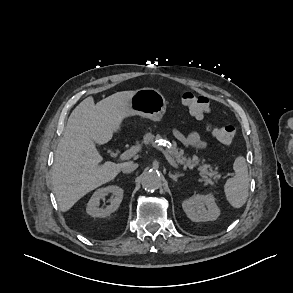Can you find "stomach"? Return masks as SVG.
Returning <instances> with one entry per match:
<instances>
[{"instance_id": "stomach-1", "label": "stomach", "mask_w": 293, "mask_h": 293, "mask_svg": "<svg viewBox=\"0 0 293 293\" xmlns=\"http://www.w3.org/2000/svg\"><path fill=\"white\" fill-rule=\"evenodd\" d=\"M166 108L167 103L164 96L153 88L134 91L129 99V115H140L155 122L163 119Z\"/></svg>"}]
</instances>
